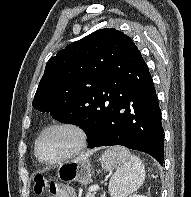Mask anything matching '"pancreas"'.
<instances>
[{"label":"pancreas","instance_id":"1","mask_svg":"<svg viewBox=\"0 0 191 197\" xmlns=\"http://www.w3.org/2000/svg\"><path fill=\"white\" fill-rule=\"evenodd\" d=\"M85 197H95L93 193L91 192H87L86 196Z\"/></svg>","mask_w":191,"mask_h":197}]
</instances>
